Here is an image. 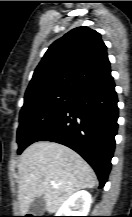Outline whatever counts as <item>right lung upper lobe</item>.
I'll list each match as a JSON object with an SVG mask.
<instances>
[{"label": "right lung upper lobe", "instance_id": "obj_1", "mask_svg": "<svg viewBox=\"0 0 132 217\" xmlns=\"http://www.w3.org/2000/svg\"><path fill=\"white\" fill-rule=\"evenodd\" d=\"M112 79L107 48L88 27L72 29L56 40L35 69L25 98L55 92L79 94Z\"/></svg>", "mask_w": 132, "mask_h": 217}]
</instances>
